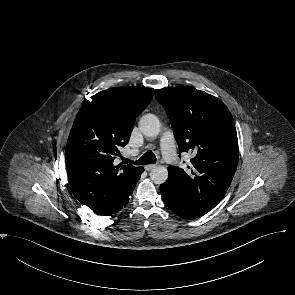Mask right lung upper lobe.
<instances>
[{"instance_id": "1", "label": "right lung upper lobe", "mask_w": 295, "mask_h": 295, "mask_svg": "<svg viewBox=\"0 0 295 295\" xmlns=\"http://www.w3.org/2000/svg\"><path fill=\"white\" fill-rule=\"evenodd\" d=\"M154 92L114 87L92 96L79 110L66 145V167L73 193L94 212L114 205L141 168L116 165L114 159Z\"/></svg>"}]
</instances>
